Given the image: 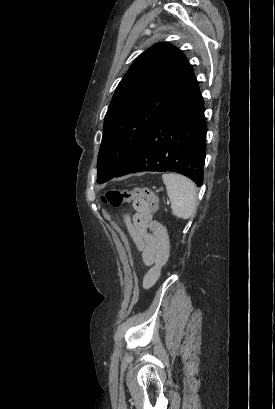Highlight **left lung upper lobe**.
Listing matches in <instances>:
<instances>
[{"label": "left lung upper lobe", "mask_w": 275, "mask_h": 409, "mask_svg": "<svg viewBox=\"0 0 275 409\" xmlns=\"http://www.w3.org/2000/svg\"><path fill=\"white\" fill-rule=\"evenodd\" d=\"M197 87L192 66L173 45L157 43L140 54L107 111L97 182L112 179L153 124Z\"/></svg>", "instance_id": "1"}]
</instances>
